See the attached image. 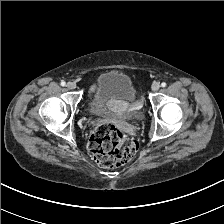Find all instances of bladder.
Masks as SVG:
<instances>
[{"label":"bladder","mask_w":224,"mask_h":224,"mask_svg":"<svg viewBox=\"0 0 224 224\" xmlns=\"http://www.w3.org/2000/svg\"><path fill=\"white\" fill-rule=\"evenodd\" d=\"M89 105L95 114L129 113L136 120L142 117L132 79L117 70L98 77Z\"/></svg>","instance_id":"1"}]
</instances>
